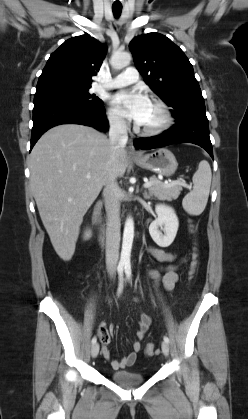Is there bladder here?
Returning a JSON list of instances; mask_svg holds the SVG:
<instances>
[{
	"label": "bladder",
	"mask_w": 248,
	"mask_h": 419,
	"mask_svg": "<svg viewBox=\"0 0 248 419\" xmlns=\"http://www.w3.org/2000/svg\"><path fill=\"white\" fill-rule=\"evenodd\" d=\"M111 380L123 387H134L141 385L145 377L131 370L113 371L110 373Z\"/></svg>",
	"instance_id": "31cf9c89"
}]
</instances>
